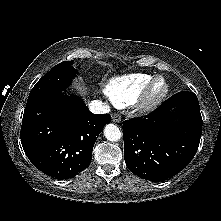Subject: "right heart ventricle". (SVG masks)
Masks as SVG:
<instances>
[{
  "label": "right heart ventricle",
  "mask_w": 221,
  "mask_h": 221,
  "mask_svg": "<svg viewBox=\"0 0 221 221\" xmlns=\"http://www.w3.org/2000/svg\"><path fill=\"white\" fill-rule=\"evenodd\" d=\"M153 76L148 73H130L110 78L104 85V93L118 107L136 101Z\"/></svg>",
  "instance_id": "right-heart-ventricle-1"
}]
</instances>
